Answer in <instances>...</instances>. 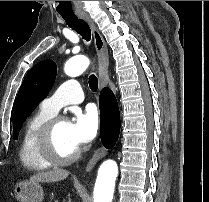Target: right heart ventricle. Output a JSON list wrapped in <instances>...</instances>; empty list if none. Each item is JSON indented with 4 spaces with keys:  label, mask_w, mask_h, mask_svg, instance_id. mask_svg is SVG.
<instances>
[{
    "label": "right heart ventricle",
    "mask_w": 209,
    "mask_h": 202,
    "mask_svg": "<svg viewBox=\"0 0 209 202\" xmlns=\"http://www.w3.org/2000/svg\"><path fill=\"white\" fill-rule=\"evenodd\" d=\"M52 117L53 115L41 109L32 115L23 127L19 144V159L28 169L38 171L51 166V163L45 160L38 151L37 138L44 123Z\"/></svg>",
    "instance_id": "right-heart-ventricle-1"
}]
</instances>
